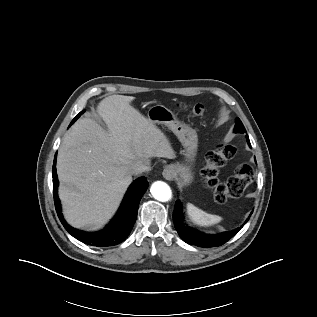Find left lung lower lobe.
Returning <instances> with one entry per match:
<instances>
[{
  "label": "left lung lower lobe",
  "instance_id": "obj_1",
  "mask_svg": "<svg viewBox=\"0 0 317 317\" xmlns=\"http://www.w3.org/2000/svg\"><path fill=\"white\" fill-rule=\"evenodd\" d=\"M248 141L249 146L250 141ZM256 160V159H255ZM253 211L251 212V214ZM251 216V215H250ZM250 216L248 219L245 221V224L249 220ZM184 217H183V210H182V204L178 200L176 201L175 204V209L173 213V222L175 225V228L179 234V236L184 240L186 243L199 246V247H218L226 243L228 240H230L234 235H236L242 226L240 228H236L231 231L223 232L220 234H205L202 232H199L186 224H184Z\"/></svg>",
  "mask_w": 317,
  "mask_h": 317
}]
</instances>
